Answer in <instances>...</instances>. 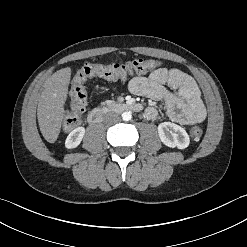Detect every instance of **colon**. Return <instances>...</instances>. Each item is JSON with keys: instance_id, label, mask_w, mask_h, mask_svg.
Returning <instances> with one entry per match:
<instances>
[{"instance_id": "5ec220e1", "label": "colon", "mask_w": 247, "mask_h": 247, "mask_svg": "<svg viewBox=\"0 0 247 247\" xmlns=\"http://www.w3.org/2000/svg\"><path fill=\"white\" fill-rule=\"evenodd\" d=\"M160 62L155 59H133L123 64L113 63L109 65L102 64H84L74 75L71 86V111L64 121V130L70 131L77 126L82 119V114L87 105V90L85 82L93 77H104L117 80L124 79L130 75H142L157 70ZM203 135V130L195 126L190 130V136L198 141Z\"/></svg>"}]
</instances>
